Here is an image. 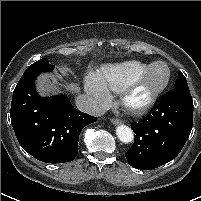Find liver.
I'll use <instances>...</instances> for the list:
<instances>
[{
  "label": "liver",
  "mask_w": 201,
  "mask_h": 201,
  "mask_svg": "<svg viewBox=\"0 0 201 201\" xmlns=\"http://www.w3.org/2000/svg\"><path fill=\"white\" fill-rule=\"evenodd\" d=\"M61 76L59 74L54 75H42L37 80V86L39 91L42 95H51L56 93L59 90V83L57 79H59ZM69 89L71 91H79V87L71 83L69 86Z\"/></svg>",
  "instance_id": "liver-1"
}]
</instances>
